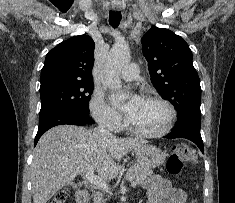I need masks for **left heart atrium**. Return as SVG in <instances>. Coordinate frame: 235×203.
<instances>
[{
    "label": "left heart atrium",
    "mask_w": 235,
    "mask_h": 203,
    "mask_svg": "<svg viewBox=\"0 0 235 203\" xmlns=\"http://www.w3.org/2000/svg\"><path fill=\"white\" fill-rule=\"evenodd\" d=\"M112 99H113V102L123 110V112L126 114L128 118L135 112L137 107L143 101V99L137 95L133 96L125 104H120V97L118 95H114Z\"/></svg>",
    "instance_id": "39dd6f15"
}]
</instances>
